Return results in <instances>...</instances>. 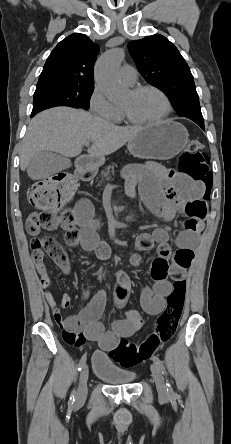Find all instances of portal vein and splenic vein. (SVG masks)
Wrapping results in <instances>:
<instances>
[{
    "instance_id": "1",
    "label": "portal vein and splenic vein",
    "mask_w": 231,
    "mask_h": 444,
    "mask_svg": "<svg viewBox=\"0 0 231 444\" xmlns=\"http://www.w3.org/2000/svg\"><path fill=\"white\" fill-rule=\"evenodd\" d=\"M84 145L88 147L90 145V143L89 142H85ZM108 186H110V185H108Z\"/></svg>"
}]
</instances>
